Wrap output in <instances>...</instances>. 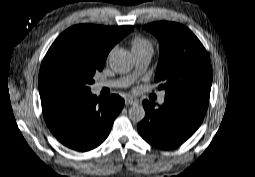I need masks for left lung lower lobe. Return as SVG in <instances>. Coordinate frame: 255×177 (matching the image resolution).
<instances>
[{
	"mask_svg": "<svg viewBox=\"0 0 255 177\" xmlns=\"http://www.w3.org/2000/svg\"><path fill=\"white\" fill-rule=\"evenodd\" d=\"M209 97H165L158 109L145 100V118L137 125L141 136L160 149H171L185 142L201 124Z\"/></svg>",
	"mask_w": 255,
	"mask_h": 177,
	"instance_id": "0a47b994",
	"label": "left lung lower lobe"
}]
</instances>
